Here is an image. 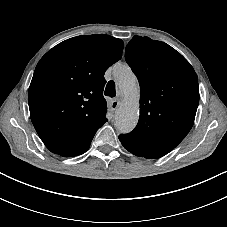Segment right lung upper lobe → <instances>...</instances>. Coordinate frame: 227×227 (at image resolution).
I'll return each instance as SVG.
<instances>
[{"mask_svg":"<svg viewBox=\"0 0 227 227\" xmlns=\"http://www.w3.org/2000/svg\"><path fill=\"white\" fill-rule=\"evenodd\" d=\"M123 41L109 35L70 38L38 62L29 87L32 123L53 153L86 152L107 121L104 73L122 57Z\"/></svg>","mask_w":227,"mask_h":227,"instance_id":"1","label":"right lung upper lobe"}]
</instances>
